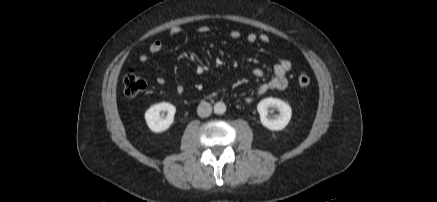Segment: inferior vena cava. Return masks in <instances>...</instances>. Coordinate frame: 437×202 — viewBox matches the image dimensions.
Wrapping results in <instances>:
<instances>
[{
	"label": "inferior vena cava",
	"instance_id": "inferior-vena-cava-1",
	"mask_svg": "<svg viewBox=\"0 0 437 202\" xmlns=\"http://www.w3.org/2000/svg\"><path fill=\"white\" fill-rule=\"evenodd\" d=\"M212 112V106L210 103L202 101L197 107V114L200 117H208Z\"/></svg>",
	"mask_w": 437,
	"mask_h": 202
}]
</instances>
